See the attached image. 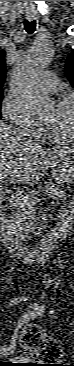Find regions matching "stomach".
<instances>
[{
  "label": "stomach",
  "instance_id": "0dacf381",
  "mask_svg": "<svg viewBox=\"0 0 74 366\" xmlns=\"http://www.w3.org/2000/svg\"><path fill=\"white\" fill-rule=\"evenodd\" d=\"M52 177L58 184H72L74 182V159L69 156L57 158L52 167Z\"/></svg>",
  "mask_w": 74,
  "mask_h": 366
}]
</instances>
